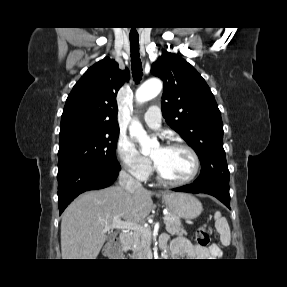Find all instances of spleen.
Returning <instances> with one entry per match:
<instances>
[{
    "instance_id": "spleen-1",
    "label": "spleen",
    "mask_w": 287,
    "mask_h": 287,
    "mask_svg": "<svg viewBox=\"0 0 287 287\" xmlns=\"http://www.w3.org/2000/svg\"><path fill=\"white\" fill-rule=\"evenodd\" d=\"M215 227L220 234V241L224 246H229L231 242V232L229 224L225 217H222L220 212L214 215Z\"/></svg>"
}]
</instances>
